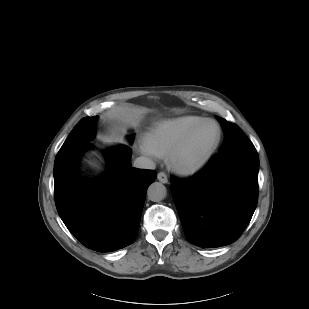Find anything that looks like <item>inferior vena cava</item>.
Returning <instances> with one entry per match:
<instances>
[{"instance_id": "602c4592", "label": "inferior vena cava", "mask_w": 309, "mask_h": 309, "mask_svg": "<svg viewBox=\"0 0 309 309\" xmlns=\"http://www.w3.org/2000/svg\"><path fill=\"white\" fill-rule=\"evenodd\" d=\"M134 167L140 168V169H150L154 170L156 168V164L154 161L147 157H138L134 161Z\"/></svg>"}]
</instances>
